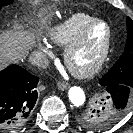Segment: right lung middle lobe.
Listing matches in <instances>:
<instances>
[{
	"instance_id": "obj_1",
	"label": "right lung middle lobe",
	"mask_w": 133,
	"mask_h": 133,
	"mask_svg": "<svg viewBox=\"0 0 133 133\" xmlns=\"http://www.w3.org/2000/svg\"><path fill=\"white\" fill-rule=\"evenodd\" d=\"M11 3H13V0H0V9L1 7L9 5Z\"/></svg>"
}]
</instances>
